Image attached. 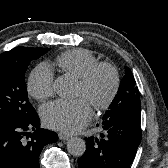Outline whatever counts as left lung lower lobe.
<instances>
[{"label":"left lung lower lobe","mask_w":168,"mask_h":168,"mask_svg":"<svg viewBox=\"0 0 168 168\" xmlns=\"http://www.w3.org/2000/svg\"><path fill=\"white\" fill-rule=\"evenodd\" d=\"M140 121V113L104 116L101 138L85 139L79 168H129L142 138Z\"/></svg>","instance_id":"0a47b994"}]
</instances>
